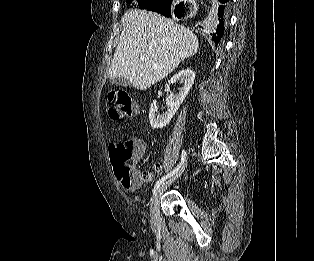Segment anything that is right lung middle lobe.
<instances>
[{
  "instance_id": "right-lung-middle-lobe-1",
  "label": "right lung middle lobe",
  "mask_w": 314,
  "mask_h": 261,
  "mask_svg": "<svg viewBox=\"0 0 314 261\" xmlns=\"http://www.w3.org/2000/svg\"><path fill=\"white\" fill-rule=\"evenodd\" d=\"M162 0H137L139 8L141 9H147L148 7L155 5ZM127 2L131 3L132 0H127Z\"/></svg>"
}]
</instances>
